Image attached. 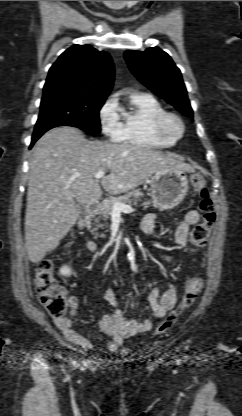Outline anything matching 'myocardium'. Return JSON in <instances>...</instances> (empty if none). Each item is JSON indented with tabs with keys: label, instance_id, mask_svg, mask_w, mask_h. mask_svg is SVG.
<instances>
[{
	"label": "myocardium",
	"instance_id": "obj_1",
	"mask_svg": "<svg viewBox=\"0 0 242 416\" xmlns=\"http://www.w3.org/2000/svg\"><path fill=\"white\" fill-rule=\"evenodd\" d=\"M171 124L176 126V131L170 129ZM154 129L158 135L177 141L182 138L185 127L182 119L177 114L165 112L155 120Z\"/></svg>",
	"mask_w": 242,
	"mask_h": 416
}]
</instances>
